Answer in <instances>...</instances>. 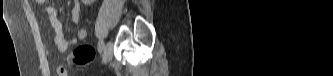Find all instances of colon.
<instances>
[{
	"instance_id": "5ec220e1",
	"label": "colon",
	"mask_w": 333,
	"mask_h": 76,
	"mask_svg": "<svg viewBox=\"0 0 333 76\" xmlns=\"http://www.w3.org/2000/svg\"><path fill=\"white\" fill-rule=\"evenodd\" d=\"M94 58V48L89 44H83L74 50V52L68 57V61L79 66H85L91 63Z\"/></svg>"
}]
</instances>
